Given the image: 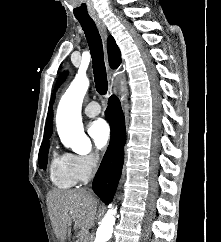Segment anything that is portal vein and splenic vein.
Segmentation results:
<instances>
[{
    "label": "portal vein and splenic vein",
    "mask_w": 221,
    "mask_h": 242,
    "mask_svg": "<svg viewBox=\"0 0 221 242\" xmlns=\"http://www.w3.org/2000/svg\"><path fill=\"white\" fill-rule=\"evenodd\" d=\"M86 234H87V231H85L84 234H83L85 238H86ZM84 240H85V239H84Z\"/></svg>",
    "instance_id": "18ae733b"
}]
</instances>
